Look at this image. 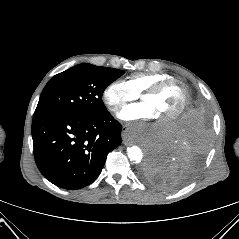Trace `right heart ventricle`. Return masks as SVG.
Masks as SVG:
<instances>
[{
  "mask_svg": "<svg viewBox=\"0 0 239 239\" xmlns=\"http://www.w3.org/2000/svg\"><path fill=\"white\" fill-rule=\"evenodd\" d=\"M172 78L166 73H137L126 79V84L136 94H141L146 88L166 79Z\"/></svg>",
  "mask_w": 239,
  "mask_h": 239,
  "instance_id": "1",
  "label": "right heart ventricle"
}]
</instances>
